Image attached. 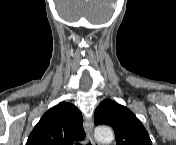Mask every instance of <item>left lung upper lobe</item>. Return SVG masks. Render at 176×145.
I'll return each mask as SVG.
<instances>
[{
  "label": "left lung upper lobe",
  "mask_w": 176,
  "mask_h": 145,
  "mask_svg": "<svg viewBox=\"0 0 176 145\" xmlns=\"http://www.w3.org/2000/svg\"><path fill=\"white\" fill-rule=\"evenodd\" d=\"M94 123L113 127L116 145H152L139 119L125 106L111 100L102 101L95 111Z\"/></svg>",
  "instance_id": "5c2ea615"
}]
</instances>
